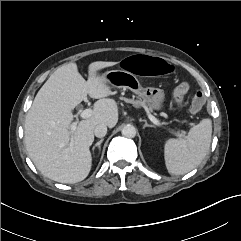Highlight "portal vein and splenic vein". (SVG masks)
Listing matches in <instances>:
<instances>
[{
	"label": "portal vein and splenic vein",
	"instance_id": "1",
	"mask_svg": "<svg viewBox=\"0 0 241 241\" xmlns=\"http://www.w3.org/2000/svg\"><path fill=\"white\" fill-rule=\"evenodd\" d=\"M92 115V110L91 109H85L81 112L80 117L82 119H87L89 117H91ZM148 118L150 119L151 122H153L155 125L162 127L163 123H161L157 118H155L153 115L148 114ZM77 128V123L73 122L71 125V132L73 133ZM173 134H175L176 136L182 137L184 136L183 134H179L178 132H173L171 131Z\"/></svg>",
	"mask_w": 241,
	"mask_h": 241
}]
</instances>
